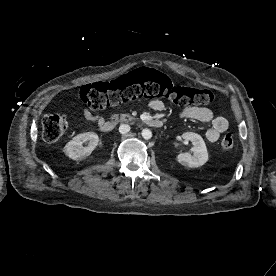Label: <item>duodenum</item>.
<instances>
[{"label": "duodenum", "instance_id": "duodenum-1", "mask_svg": "<svg viewBox=\"0 0 276 276\" xmlns=\"http://www.w3.org/2000/svg\"><path fill=\"white\" fill-rule=\"evenodd\" d=\"M144 123L153 128H160L163 125V122L158 119H146ZM116 123L113 121H105L100 125V129L104 133H110L114 130Z\"/></svg>", "mask_w": 276, "mask_h": 276}]
</instances>
